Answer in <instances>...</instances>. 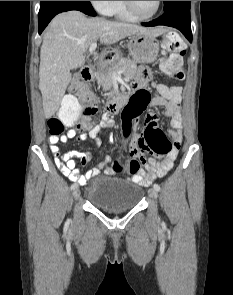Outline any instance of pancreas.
Wrapping results in <instances>:
<instances>
[{"label": "pancreas", "mask_w": 233, "mask_h": 295, "mask_svg": "<svg viewBox=\"0 0 233 295\" xmlns=\"http://www.w3.org/2000/svg\"><path fill=\"white\" fill-rule=\"evenodd\" d=\"M121 70L126 79H131L136 73L137 64L129 58H120L117 62L106 68L105 71L99 73L97 77L98 85L102 86L105 91L110 90L113 85L114 76H120L118 72Z\"/></svg>", "instance_id": "cf45deb5"}]
</instances>
